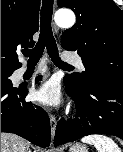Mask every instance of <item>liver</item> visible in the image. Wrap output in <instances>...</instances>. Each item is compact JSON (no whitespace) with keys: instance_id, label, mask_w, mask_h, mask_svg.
I'll list each match as a JSON object with an SVG mask.
<instances>
[{"instance_id":"obj_1","label":"liver","mask_w":123,"mask_h":152,"mask_svg":"<svg viewBox=\"0 0 123 152\" xmlns=\"http://www.w3.org/2000/svg\"><path fill=\"white\" fill-rule=\"evenodd\" d=\"M30 144L22 137L1 133V152H28Z\"/></svg>"}]
</instances>
